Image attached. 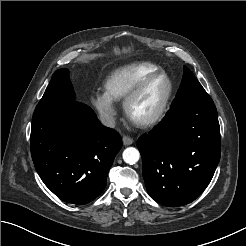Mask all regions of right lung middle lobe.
<instances>
[{"label": "right lung middle lobe", "instance_id": "right-lung-middle-lobe-1", "mask_svg": "<svg viewBox=\"0 0 246 246\" xmlns=\"http://www.w3.org/2000/svg\"><path fill=\"white\" fill-rule=\"evenodd\" d=\"M74 101L75 93L69 79V70L58 69L36 106L33 117L58 113Z\"/></svg>", "mask_w": 246, "mask_h": 246}]
</instances>
